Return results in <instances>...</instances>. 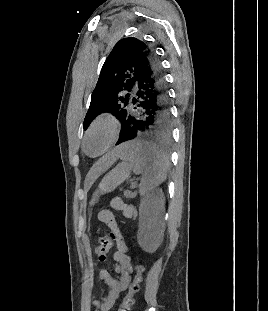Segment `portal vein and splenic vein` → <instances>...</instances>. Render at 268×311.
Wrapping results in <instances>:
<instances>
[{
    "label": "portal vein and splenic vein",
    "mask_w": 268,
    "mask_h": 311,
    "mask_svg": "<svg viewBox=\"0 0 268 311\" xmlns=\"http://www.w3.org/2000/svg\"><path fill=\"white\" fill-rule=\"evenodd\" d=\"M126 196H131V193L130 192H125L124 193Z\"/></svg>",
    "instance_id": "portal-vein-and-splenic-vein-1"
}]
</instances>
